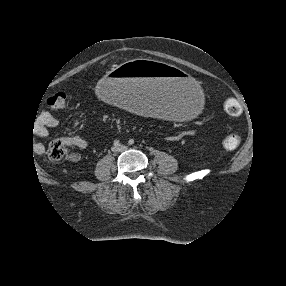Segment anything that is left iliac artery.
<instances>
[{
  "label": "left iliac artery",
  "instance_id": "left-iliac-artery-1",
  "mask_svg": "<svg viewBox=\"0 0 286 286\" xmlns=\"http://www.w3.org/2000/svg\"><path fill=\"white\" fill-rule=\"evenodd\" d=\"M130 145L134 144V140L133 139H130L129 142H128Z\"/></svg>",
  "mask_w": 286,
  "mask_h": 286
}]
</instances>
